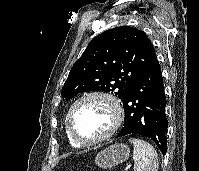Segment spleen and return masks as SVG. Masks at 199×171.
Segmentation results:
<instances>
[{"mask_svg":"<svg viewBox=\"0 0 199 171\" xmlns=\"http://www.w3.org/2000/svg\"><path fill=\"white\" fill-rule=\"evenodd\" d=\"M129 142L134 145V171H158V155L153 146L138 138H130Z\"/></svg>","mask_w":199,"mask_h":171,"instance_id":"3e777b00","label":"spleen"}]
</instances>
